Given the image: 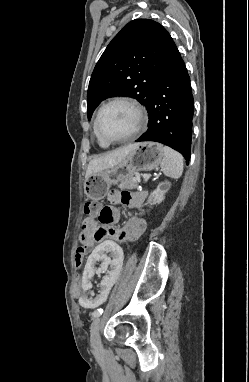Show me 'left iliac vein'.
Listing matches in <instances>:
<instances>
[{
	"label": "left iliac vein",
	"instance_id": "left-iliac-vein-1",
	"mask_svg": "<svg viewBox=\"0 0 249 382\" xmlns=\"http://www.w3.org/2000/svg\"><path fill=\"white\" fill-rule=\"evenodd\" d=\"M100 323L101 319L96 317L90 327L91 334V347L94 352H99L102 349L101 339H100Z\"/></svg>",
	"mask_w": 249,
	"mask_h": 382
}]
</instances>
